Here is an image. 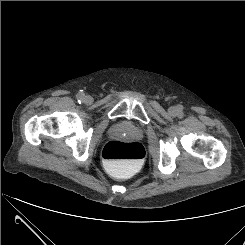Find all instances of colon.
I'll list each match as a JSON object with an SVG mask.
<instances>
[{"instance_id":"1","label":"colon","mask_w":245,"mask_h":245,"mask_svg":"<svg viewBox=\"0 0 245 245\" xmlns=\"http://www.w3.org/2000/svg\"><path fill=\"white\" fill-rule=\"evenodd\" d=\"M105 166L115 175L137 169L145 158L143 146L137 142H108L102 151Z\"/></svg>"}]
</instances>
